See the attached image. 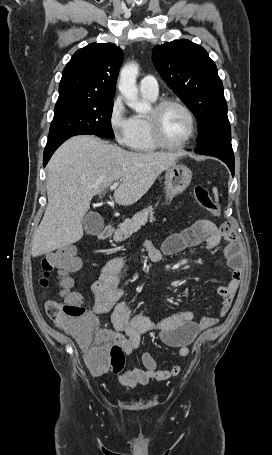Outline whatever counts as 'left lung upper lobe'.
I'll return each instance as SVG.
<instances>
[{
  "mask_svg": "<svg viewBox=\"0 0 272 455\" xmlns=\"http://www.w3.org/2000/svg\"><path fill=\"white\" fill-rule=\"evenodd\" d=\"M155 68L198 120L197 144L231 133L223 84L207 51L187 39L153 49Z\"/></svg>",
  "mask_w": 272,
  "mask_h": 455,
  "instance_id": "1",
  "label": "left lung upper lobe"
}]
</instances>
